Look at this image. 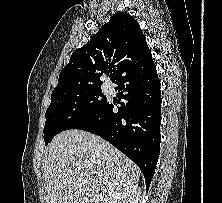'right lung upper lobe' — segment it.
<instances>
[{
	"label": "right lung upper lobe",
	"instance_id": "1",
	"mask_svg": "<svg viewBox=\"0 0 222 203\" xmlns=\"http://www.w3.org/2000/svg\"><path fill=\"white\" fill-rule=\"evenodd\" d=\"M152 60L146 38L137 21L128 13L114 14L90 41L75 50L59 74L53 90L101 85L100 77L113 68L110 80Z\"/></svg>",
	"mask_w": 222,
	"mask_h": 203
}]
</instances>
